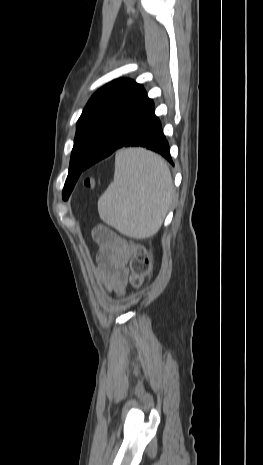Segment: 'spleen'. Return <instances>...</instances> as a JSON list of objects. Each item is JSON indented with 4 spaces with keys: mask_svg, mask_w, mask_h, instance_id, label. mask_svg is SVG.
<instances>
[{
    "mask_svg": "<svg viewBox=\"0 0 263 465\" xmlns=\"http://www.w3.org/2000/svg\"><path fill=\"white\" fill-rule=\"evenodd\" d=\"M173 194L167 163L144 149L116 153L114 180L98 200L100 218L122 234L153 236L160 228Z\"/></svg>",
    "mask_w": 263,
    "mask_h": 465,
    "instance_id": "3e777b00",
    "label": "spleen"
}]
</instances>
